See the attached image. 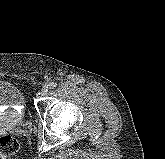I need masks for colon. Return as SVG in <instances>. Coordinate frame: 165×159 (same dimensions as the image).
I'll list each match as a JSON object with an SVG mask.
<instances>
[{
  "label": "colon",
  "instance_id": "obj_1",
  "mask_svg": "<svg viewBox=\"0 0 165 159\" xmlns=\"http://www.w3.org/2000/svg\"><path fill=\"white\" fill-rule=\"evenodd\" d=\"M19 149V144L16 139L11 136L0 137V158L5 159L14 155Z\"/></svg>",
  "mask_w": 165,
  "mask_h": 159
}]
</instances>
